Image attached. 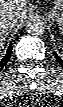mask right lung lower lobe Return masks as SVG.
<instances>
[{
    "label": "right lung lower lobe",
    "mask_w": 63,
    "mask_h": 107,
    "mask_svg": "<svg viewBox=\"0 0 63 107\" xmlns=\"http://www.w3.org/2000/svg\"><path fill=\"white\" fill-rule=\"evenodd\" d=\"M11 54H12V43L9 44V47H8V50L5 54V56L2 59H0V71L2 70V68L9 61V58L11 57Z\"/></svg>",
    "instance_id": "obj_1"
}]
</instances>
